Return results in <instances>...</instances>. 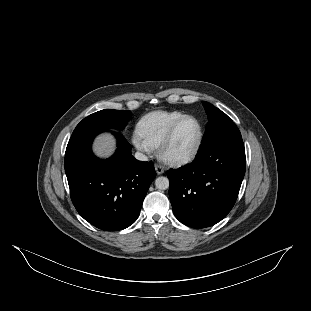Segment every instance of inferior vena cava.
I'll list each match as a JSON object with an SVG mask.
<instances>
[{"label":"inferior vena cava","instance_id":"1","mask_svg":"<svg viewBox=\"0 0 311 311\" xmlns=\"http://www.w3.org/2000/svg\"><path fill=\"white\" fill-rule=\"evenodd\" d=\"M134 157L139 161H148V157L141 152H136Z\"/></svg>","mask_w":311,"mask_h":311}]
</instances>
